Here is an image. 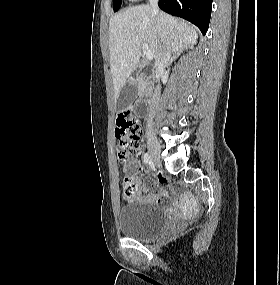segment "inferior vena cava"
<instances>
[{
  "instance_id": "obj_1",
  "label": "inferior vena cava",
  "mask_w": 280,
  "mask_h": 285,
  "mask_svg": "<svg viewBox=\"0 0 280 285\" xmlns=\"http://www.w3.org/2000/svg\"><path fill=\"white\" fill-rule=\"evenodd\" d=\"M149 3H150V6L153 8L154 12L157 14L158 20L160 21V11L158 8V0H149ZM162 35H164V33H162ZM170 56H171L170 50L167 49L165 46H163L160 49L158 56L156 57V60H155L156 75L163 74L166 65L170 61ZM159 97H160V88L159 86H157L152 96V99L150 101V113H149L148 120H147L149 125L152 124L154 116L156 114Z\"/></svg>"
}]
</instances>
